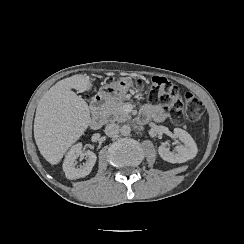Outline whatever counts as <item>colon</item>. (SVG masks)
Segmentation results:
<instances>
[{
  "label": "colon",
  "instance_id": "obj_1",
  "mask_svg": "<svg viewBox=\"0 0 244 244\" xmlns=\"http://www.w3.org/2000/svg\"><path fill=\"white\" fill-rule=\"evenodd\" d=\"M138 82L144 83L142 79ZM149 83L148 102L153 105H163L174 117V123H181L184 117L189 121H197L203 114V104L194 94L186 93L184 98H181L178 88L160 76L152 77Z\"/></svg>",
  "mask_w": 244,
  "mask_h": 244
}]
</instances>
